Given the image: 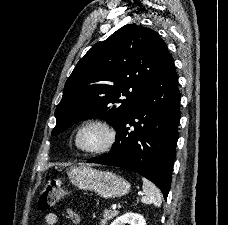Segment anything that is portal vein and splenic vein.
Instances as JSON below:
<instances>
[{"mask_svg":"<svg viewBox=\"0 0 228 225\" xmlns=\"http://www.w3.org/2000/svg\"><path fill=\"white\" fill-rule=\"evenodd\" d=\"M141 195H142V193H141ZM135 199H133V200H130L129 201V204H127V205H137L138 203H139V200H140V195H135V197H134ZM120 206V203L119 202H116L115 204H111V209H118V207Z\"/></svg>","mask_w":228,"mask_h":225,"instance_id":"portal-vein-and-splenic-vein-1","label":"portal vein and splenic vein"}]
</instances>
